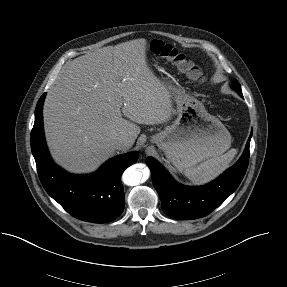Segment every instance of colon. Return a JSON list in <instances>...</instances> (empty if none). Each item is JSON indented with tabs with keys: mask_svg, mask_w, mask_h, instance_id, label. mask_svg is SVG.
I'll return each mask as SVG.
<instances>
[{
	"mask_svg": "<svg viewBox=\"0 0 287 287\" xmlns=\"http://www.w3.org/2000/svg\"><path fill=\"white\" fill-rule=\"evenodd\" d=\"M151 50L171 62H173L188 77L199 82H205V75L201 67L188 55L182 53L171 44L160 40H154L150 45Z\"/></svg>",
	"mask_w": 287,
	"mask_h": 287,
	"instance_id": "obj_1",
	"label": "colon"
}]
</instances>
